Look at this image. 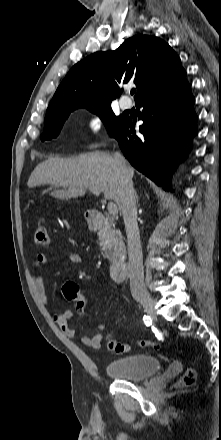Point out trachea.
Instances as JSON below:
<instances>
[{
    "label": "trachea",
    "instance_id": "3493384b",
    "mask_svg": "<svg viewBox=\"0 0 221 440\" xmlns=\"http://www.w3.org/2000/svg\"><path fill=\"white\" fill-rule=\"evenodd\" d=\"M136 92V90H131V94H134Z\"/></svg>",
    "mask_w": 221,
    "mask_h": 440
}]
</instances>
